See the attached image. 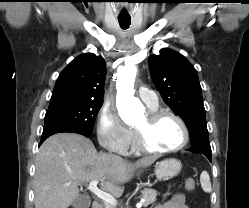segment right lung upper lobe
Wrapping results in <instances>:
<instances>
[{
	"label": "right lung upper lobe",
	"instance_id": "1",
	"mask_svg": "<svg viewBox=\"0 0 249 208\" xmlns=\"http://www.w3.org/2000/svg\"><path fill=\"white\" fill-rule=\"evenodd\" d=\"M105 75L102 57L92 53L76 57L59 75L49 107L68 102H103Z\"/></svg>",
	"mask_w": 249,
	"mask_h": 208
}]
</instances>
